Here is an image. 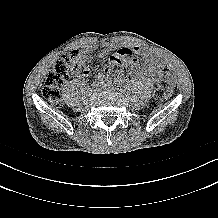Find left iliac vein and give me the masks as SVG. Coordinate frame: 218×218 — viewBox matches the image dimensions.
<instances>
[{"mask_svg": "<svg viewBox=\"0 0 218 218\" xmlns=\"http://www.w3.org/2000/svg\"><path fill=\"white\" fill-rule=\"evenodd\" d=\"M103 89L105 90H115V87L111 84H108V83H105L103 86H102Z\"/></svg>", "mask_w": 218, "mask_h": 218, "instance_id": "left-iliac-vein-1", "label": "left iliac vein"}]
</instances>
